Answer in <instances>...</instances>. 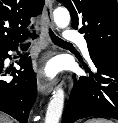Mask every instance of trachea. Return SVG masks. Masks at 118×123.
I'll return each instance as SVG.
<instances>
[{"label":"trachea","instance_id":"trachea-1","mask_svg":"<svg viewBox=\"0 0 118 123\" xmlns=\"http://www.w3.org/2000/svg\"><path fill=\"white\" fill-rule=\"evenodd\" d=\"M49 35H50V38L51 40L57 44V45H71V43L67 42V41H64L62 40L61 38H59L58 36H56L52 31L51 29H49Z\"/></svg>","mask_w":118,"mask_h":123}]
</instances>
